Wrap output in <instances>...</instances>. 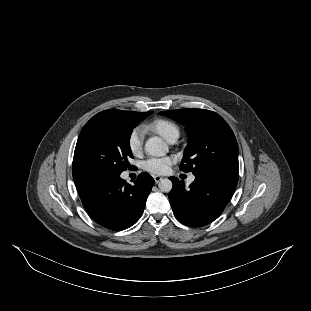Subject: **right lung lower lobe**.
I'll return each mask as SVG.
<instances>
[{"instance_id":"98d812e1","label":"right lung lower lobe","mask_w":311,"mask_h":311,"mask_svg":"<svg viewBox=\"0 0 311 311\" xmlns=\"http://www.w3.org/2000/svg\"><path fill=\"white\" fill-rule=\"evenodd\" d=\"M154 179L142 172L134 185L120 175H96L75 181L84 208L101 226L121 231L135 224L143 214Z\"/></svg>"}]
</instances>
